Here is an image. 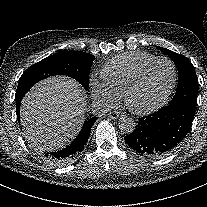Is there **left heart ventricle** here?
I'll list each match as a JSON object with an SVG mask.
<instances>
[{
  "mask_svg": "<svg viewBox=\"0 0 207 207\" xmlns=\"http://www.w3.org/2000/svg\"><path fill=\"white\" fill-rule=\"evenodd\" d=\"M172 76L173 70L170 64L160 62L152 66L130 94V105L135 109L144 110L152 104L165 101Z\"/></svg>",
  "mask_w": 207,
  "mask_h": 207,
  "instance_id": "b2bd125f",
  "label": "left heart ventricle"
}]
</instances>
